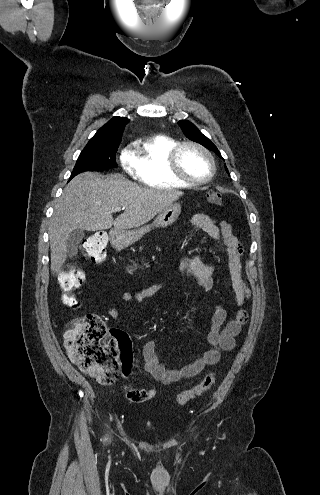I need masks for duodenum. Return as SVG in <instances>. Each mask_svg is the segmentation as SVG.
Instances as JSON below:
<instances>
[{"instance_id": "410a0bca", "label": "duodenum", "mask_w": 320, "mask_h": 495, "mask_svg": "<svg viewBox=\"0 0 320 495\" xmlns=\"http://www.w3.org/2000/svg\"><path fill=\"white\" fill-rule=\"evenodd\" d=\"M114 240H115L116 242H118V239H117L116 237H114Z\"/></svg>"}]
</instances>
